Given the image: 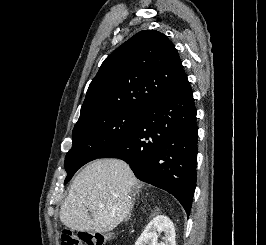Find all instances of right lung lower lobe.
Wrapping results in <instances>:
<instances>
[{
    "mask_svg": "<svg viewBox=\"0 0 266 245\" xmlns=\"http://www.w3.org/2000/svg\"><path fill=\"white\" fill-rule=\"evenodd\" d=\"M196 111L187 81L151 105L129 136L99 158L124 160L138 179L172 194L189 215L196 187Z\"/></svg>",
    "mask_w": 266,
    "mask_h": 245,
    "instance_id": "1",
    "label": "right lung lower lobe"
}]
</instances>
